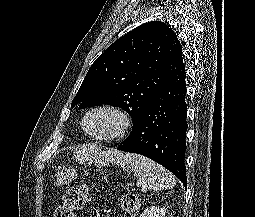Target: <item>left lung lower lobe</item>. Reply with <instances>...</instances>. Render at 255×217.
Listing matches in <instances>:
<instances>
[{
  "mask_svg": "<svg viewBox=\"0 0 255 217\" xmlns=\"http://www.w3.org/2000/svg\"><path fill=\"white\" fill-rule=\"evenodd\" d=\"M185 77L183 65L151 100L141 120L117 149L154 160L171 171L186 187Z\"/></svg>",
  "mask_w": 255,
  "mask_h": 217,
  "instance_id": "left-lung-lower-lobe-1",
  "label": "left lung lower lobe"
}]
</instances>
